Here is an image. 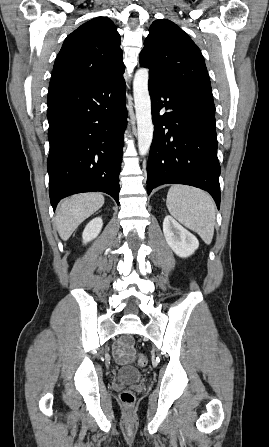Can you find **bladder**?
Returning <instances> with one entry per match:
<instances>
[{"mask_svg":"<svg viewBox=\"0 0 269 447\" xmlns=\"http://www.w3.org/2000/svg\"><path fill=\"white\" fill-rule=\"evenodd\" d=\"M116 377L127 382H134L141 379L142 373L136 367L124 365L119 368Z\"/></svg>","mask_w":269,"mask_h":447,"instance_id":"obj_1","label":"bladder"}]
</instances>
